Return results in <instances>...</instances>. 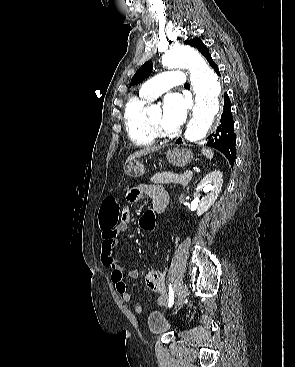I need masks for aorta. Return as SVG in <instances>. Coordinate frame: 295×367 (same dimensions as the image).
Masks as SVG:
<instances>
[{
  "label": "aorta",
  "mask_w": 295,
  "mask_h": 367,
  "mask_svg": "<svg viewBox=\"0 0 295 367\" xmlns=\"http://www.w3.org/2000/svg\"><path fill=\"white\" fill-rule=\"evenodd\" d=\"M162 64L168 68L189 69L195 105L184 137L189 142L204 139L221 111V86L217 75L197 51L186 46H175L168 50L162 57ZM157 109L155 105L150 106L147 113Z\"/></svg>",
  "instance_id": "1"
}]
</instances>
